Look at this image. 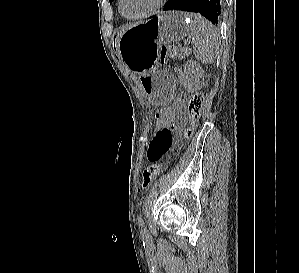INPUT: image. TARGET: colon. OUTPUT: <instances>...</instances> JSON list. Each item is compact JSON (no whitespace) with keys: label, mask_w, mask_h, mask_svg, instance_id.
I'll return each mask as SVG.
<instances>
[{"label":"colon","mask_w":299,"mask_h":273,"mask_svg":"<svg viewBox=\"0 0 299 273\" xmlns=\"http://www.w3.org/2000/svg\"><path fill=\"white\" fill-rule=\"evenodd\" d=\"M175 52V47L171 45H163L161 47V61L163 62L167 56ZM204 106V95L196 93L191 96L187 103V115L190 119V125L186 128L184 135L190 137L193 129L196 127ZM181 110V99L177 98L169 105L164 106L155 114V126L157 129H163L172 124ZM162 163H152L143 171L141 191L145 190L151 182L160 174L162 170Z\"/></svg>","instance_id":"colon-1"}]
</instances>
